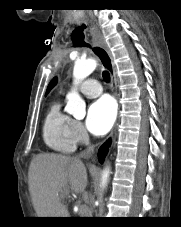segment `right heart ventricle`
Instances as JSON below:
<instances>
[{"label": "right heart ventricle", "instance_id": "e07e8e85", "mask_svg": "<svg viewBox=\"0 0 181 227\" xmlns=\"http://www.w3.org/2000/svg\"><path fill=\"white\" fill-rule=\"evenodd\" d=\"M72 119L61 110L59 101H54L44 119L43 139L52 150L61 153H71L76 148V141L72 135Z\"/></svg>", "mask_w": 181, "mask_h": 227}]
</instances>
